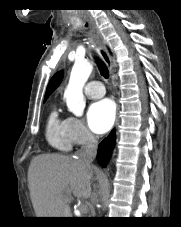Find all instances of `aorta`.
<instances>
[{
	"label": "aorta",
	"mask_w": 181,
	"mask_h": 227,
	"mask_svg": "<svg viewBox=\"0 0 181 227\" xmlns=\"http://www.w3.org/2000/svg\"><path fill=\"white\" fill-rule=\"evenodd\" d=\"M93 65L86 60H77L72 68L69 83L64 92L68 110L75 116H82L86 105L83 87L87 82Z\"/></svg>",
	"instance_id": "762f6f07"
}]
</instances>
